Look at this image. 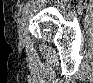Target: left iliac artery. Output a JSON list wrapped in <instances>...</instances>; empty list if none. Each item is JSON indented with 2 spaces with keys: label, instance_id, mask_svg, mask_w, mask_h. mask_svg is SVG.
I'll list each match as a JSON object with an SVG mask.
<instances>
[{
  "label": "left iliac artery",
  "instance_id": "left-iliac-artery-1",
  "mask_svg": "<svg viewBox=\"0 0 93 83\" xmlns=\"http://www.w3.org/2000/svg\"><path fill=\"white\" fill-rule=\"evenodd\" d=\"M28 5L27 6H25L24 8H23V14H26L27 13V10H28Z\"/></svg>",
  "mask_w": 93,
  "mask_h": 83
}]
</instances>
